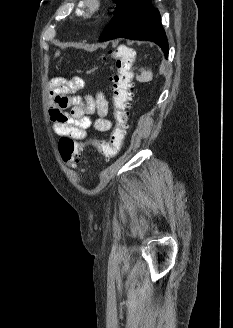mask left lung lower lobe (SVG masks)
Returning a JSON list of instances; mask_svg holds the SVG:
<instances>
[{
    "mask_svg": "<svg viewBox=\"0 0 233 328\" xmlns=\"http://www.w3.org/2000/svg\"><path fill=\"white\" fill-rule=\"evenodd\" d=\"M120 37L156 42L165 57H168V42L161 17L150 0H127L105 27L99 40L108 41Z\"/></svg>",
    "mask_w": 233,
    "mask_h": 328,
    "instance_id": "left-lung-lower-lobe-1",
    "label": "left lung lower lobe"
}]
</instances>
